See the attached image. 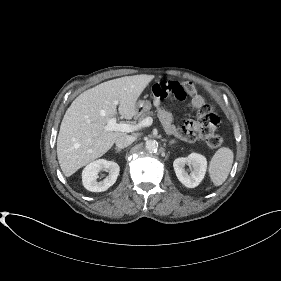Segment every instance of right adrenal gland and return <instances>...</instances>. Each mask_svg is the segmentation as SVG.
Listing matches in <instances>:
<instances>
[{
    "mask_svg": "<svg viewBox=\"0 0 281 281\" xmlns=\"http://www.w3.org/2000/svg\"><path fill=\"white\" fill-rule=\"evenodd\" d=\"M115 150H116L117 152H120V151H121V149H119V148H115Z\"/></svg>",
    "mask_w": 281,
    "mask_h": 281,
    "instance_id": "2a0ac1e0",
    "label": "right adrenal gland"
}]
</instances>
